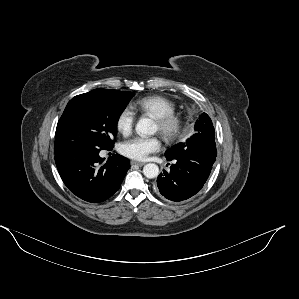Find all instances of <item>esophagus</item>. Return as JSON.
I'll return each mask as SVG.
<instances>
[{
	"label": "esophagus",
	"instance_id": "obj_1",
	"mask_svg": "<svg viewBox=\"0 0 299 299\" xmlns=\"http://www.w3.org/2000/svg\"><path fill=\"white\" fill-rule=\"evenodd\" d=\"M145 163L144 162H138V161H131V165H137V166H143Z\"/></svg>",
	"mask_w": 299,
	"mask_h": 299
}]
</instances>
